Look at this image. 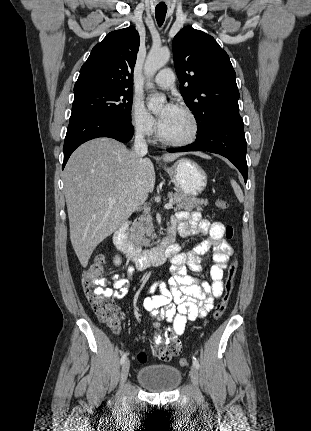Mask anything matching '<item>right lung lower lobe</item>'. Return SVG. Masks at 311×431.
I'll use <instances>...</instances> for the list:
<instances>
[{
    "instance_id": "right-lung-lower-lobe-1",
    "label": "right lung lower lobe",
    "mask_w": 311,
    "mask_h": 431,
    "mask_svg": "<svg viewBox=\"0 0 311 431\" xmlns=\"http://www.w3.org/2000/svg\"><path fill=\"white\" fill-rule=\"evenodd\" d=\"M131 119L121 120L105 115H84L70 120L64 142V162L67 163L72 152L82 143L98 138L110 137L128 142L133 136Z\"/></svg>"
}]
</instances>
